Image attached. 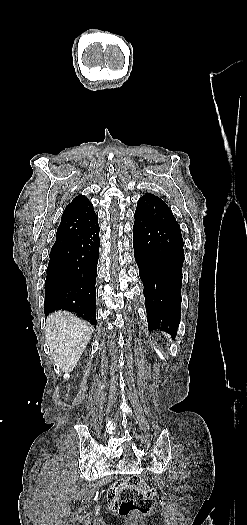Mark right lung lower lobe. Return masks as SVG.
I'll list each match as a JSON object with an SVG mask.
<instances>
[{
  "label": "right lung lower lobe",
  "mask_w": 247,
  "mask_h": 525,
  "mask_svg": "<svg viewBox=\"0 0 247 525\" xmlns=\"http://www.w3.org/2000/svg\"><path fill=\"white\" fill-rule=\"evenodd\" d=\"M99 225L77 238L53 247L45 280L44 313L74 312L96 327V276Z\"/></svg>",
  "instance_id": "98d812e1"
}]
</instances>
